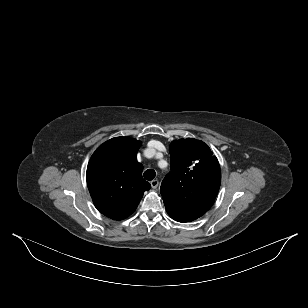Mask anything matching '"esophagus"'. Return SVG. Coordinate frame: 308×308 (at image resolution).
<instances>
[{"mask_svg": "<svg viewBox=\"0 0 308 308\" xmlns=\"http://www.w3.org/2000/svg\"><path fill=\"white\" fill-rule=\"evenodd\" d=\"M150 184L153 189H156L159 185V181L155 179V180H152Z\"/></svg>", "mask_w": 308, "mask_h": 308, "instance_id": "obj_1", "label": "esophagus"}]
</instances>
